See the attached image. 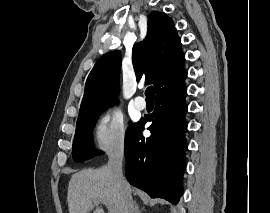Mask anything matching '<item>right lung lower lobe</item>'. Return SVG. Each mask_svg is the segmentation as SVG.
Masks as SVG:
<instances>
[{"label": "right lung lower lobe", "mask_w": 270, "mask_h": 213, "mask_svg": "<svg viewBox=\"0 0 270 213\" xmlns=\"http://www.w3.org/2000/svg\"><path fill=\"white\" fill-rule=\"evenodd\" d=\"M184 70L156 92L155 110L133 124L125 136V173L128 182L151 197L164 198L177 204L182 195V175L185 169L184 149L187 144L185 97L187 88ZM147 121L151 136L142 135Z\"/></svg>", "instance_id": "obj_1"}]
</instances>
